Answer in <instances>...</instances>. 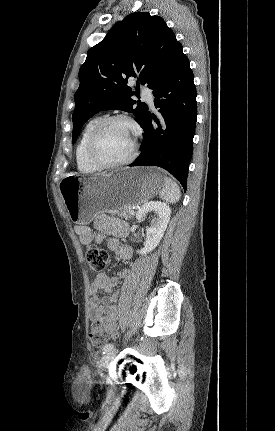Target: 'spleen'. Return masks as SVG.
<instances>
[{
    "label": "spleen",
    "mask_w": 275,
    "mask_h": 431,
    "mask_svg": "<svg viewBox=\"0 0 275 431\" xmlns=\"http://www.w3.org/2000/svg\"><path fill=\"white\" fill-rule=\"evenodd\" d=\"M159 196L161 199L169 203H176L181 196L180 188L174 180L165 177L164 185L159 193Z\"/></svg>",
    "instance_id": "1"
}]
</instances>
